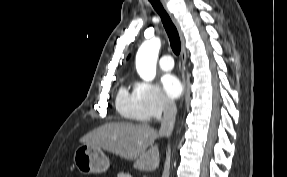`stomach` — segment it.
<instances>
[{
    "label": "stomach",
    "instance_id": "stomach-1",
    "mask_svg": "<svg viewBox=\"0 0 287 177\" xmlns=\"http://www.w3.org/2000/svg\"><path fill=\"white\" fill-rule=\"evenodd\" d=\"M74 164L85 175L106 172L110 166L102 149L89 144H82L75 150Z\"/></svg>",
    "mask_w": 287,
    "mask_h": 177
}]
</instances>
